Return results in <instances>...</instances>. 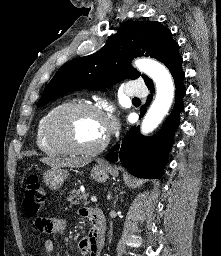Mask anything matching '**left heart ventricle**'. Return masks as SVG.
<instances>
[{
	"label": "left heart ventricle",
	"instance_id": "1",
	"mask_svg": "<svg viewBox=\"0 0 221 256\" xmlns=\"http://www.w3.org/2000/svg\"><path fill=\"white\" fill-rule=\"evenodd\" d=\"M106 121L92 112H79L68 120V132L75 144L81 147H93L106 136Z\"/></svg>",
	"mask_w": 221,
	"mask_h": 256
}]
</instances>
